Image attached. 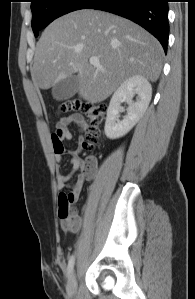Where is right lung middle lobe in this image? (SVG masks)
<instances>
[{
	"instance_id": "obj_1",
	"label": "right lung middle lobe",
	"mask_w": 195,
	"mask_h": 299,
	"mask_svg": "<svg viewBox=\"0 0 195 299\" xmlns=\"http://www.w3.org/2000/svg\"><path fill=\"white\" fill-rule=\"evenodd\" d=\"M91 0H31L32 29L35 37L56 18L85 8Z\"/></svg>"
}]
</instances>
